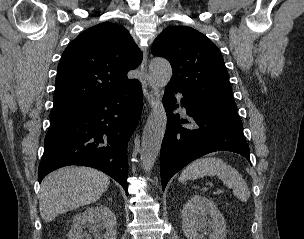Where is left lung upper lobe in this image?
I'll return each mask as SVG.
<instances>
[{"mask_svg": "<svg viewBox=\"0 0 304 239\" xmlns=\"http://www.w3.org/2000/svg\"><path fill=\"white\" fill-rule=\"evenodd\" d=\"M152 54L172 65L167 87L195 103L236 112L221 52L205 35L187 26L168 27L155 39Z\"/></svg>", "mask_w": 304, "mask_h": 239, "instance_id": "5c2ea615", "label": "left lung upper lobe"}]
</instances>
